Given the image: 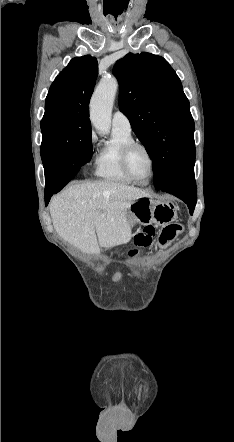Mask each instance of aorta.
I'll list each match as a JSON object with an SVG mask.
<instances>
[{
    "label": "aorta",
    "instance_id": "obj_1",
    "mask_svg": "<svg viewBox=\"0 0 234 442\" xmlns=\"http://www.w3.org/2000/svg\"><path fill=\"white\" fill-rule=\"evenodd\" d=\"M118 89L114 77H104L95 89L90 101V120L99 133L107 134L111 127V113Z\"/></svg>",
    "mask_w": 234,
    "mask_h": 442
}]
</instances>
